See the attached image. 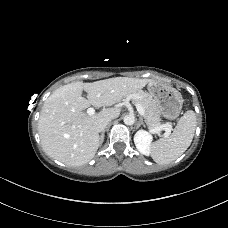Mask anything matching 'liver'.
Segmentation results:
<instances>
[{
    "mask_svg": "<svg viewBox=\"0 0 228 228\" xmlns=\"http://www.w3.org/2000/svg\"><path fill=\"white\" fill-rule=\"evenodd\" d=\"M151 79L115 77L91 83L73 82L56 89L45 101L38 120V132L44 152L72 167L88 163L96 154L100 137L94 123L115 119L119 108H107L95 115L83 111L90 105L110 107L136 93ZM87 93V98L82 96Z\"/></svg>",
    "mask_w": 228,
    "mask_h": 228,
    "instance_id": "liver-1",
    "label": "liver"
}]
</instances>
